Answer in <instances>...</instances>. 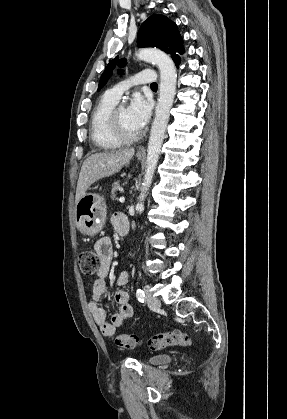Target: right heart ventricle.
<instances>
[{"instance_id": "obj_1", "label": "right heart ventricle", "mask_w": 287, "mask_h": 419, "mask_svg": "<svg viewBox=\"0 0 287 419\" xmlns=\"http://www.w3.org/2000/svg\"><path fill=\"white\" fill-rule=\"evenodd\" d=\"M117 100L105 93L95 106L90 119V136L95 146L103 150L118 148L120 143L110 132L108 117Z\"/></svg>"}]
</instances>
